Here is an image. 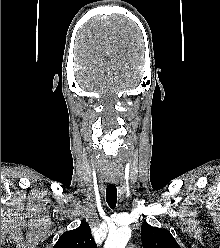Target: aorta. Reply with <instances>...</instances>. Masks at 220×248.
I'll return each instance as SVG.
<instances>
[{
	"label": "aorta",
	"instance_id": "1",
	"mask_svg": "<svg viewBox=\"0 0 220 248\" xmlns=\"http://www.w3.org/2000/svg\"><path fill=\"white\" fill-rule=\"evenodd\" d=\"M130 237L131 229L122 226L108 235L104 248H125Z\"/></svg>",
	"mask_w": 220,
	"mask_h": 248
}]
</instances>
